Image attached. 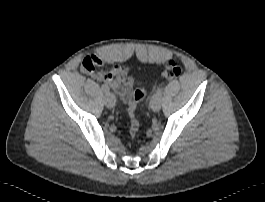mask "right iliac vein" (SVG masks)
I'll return each instance as SVG.
<instances>
[{"instance_id": "obj_1", "label": "right iliac vein", "mask_w": 265, "mask_h": 202, "mask_svg": "<svg viewBox=\"0 0 265 202\" xmlns=\"http://www.w3.org/2000/svg\"><path fill=\"white\" fill-rule=\"evenodd\" d=\"M116 100L112 93H107L105 96V104L108 108H113L115 106Z\"/></svg>"}]
</instances>
